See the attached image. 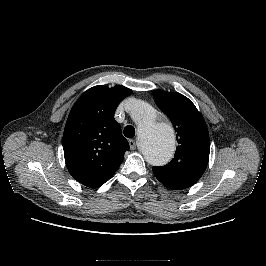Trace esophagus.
Here are the masks:
<instances>
[{"instance_id":"esophagus-1","label":"esophagus","mask_w":266,"mask_h":266,"mask_svg":"<svg viewBox=\"0 0 266 266\" xmlns=\"http://www.w3.org/2000/svg\"><path fill=\"white\" fill-rule=\"evenodd\" d=\"M128 142H129L130 148H131L132 150H134L135 147H136V142H135V140L130 139Z\"/></svg>"}]
</instances>
